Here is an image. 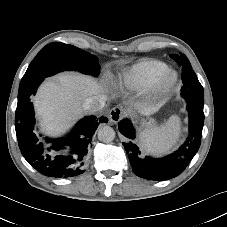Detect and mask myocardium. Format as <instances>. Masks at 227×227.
<instances>
[{
  "mask_svg": "<svg viewBox=\"0 0 227 227\" xmlns=\"http://www.w3.org/2000/svg\"><path fill=\"white\" fill-rule=\"evenodd\" d=\"M178 79L176 71L168 69L152 86L153 92L156 95H165L170 92L175 86Z\"/></svg>",
  "mask_w": 227,
  "mask_h": 227,
  "instance_id": "myocardium-1",
  "label": "myocardium"
}]
</instances>
